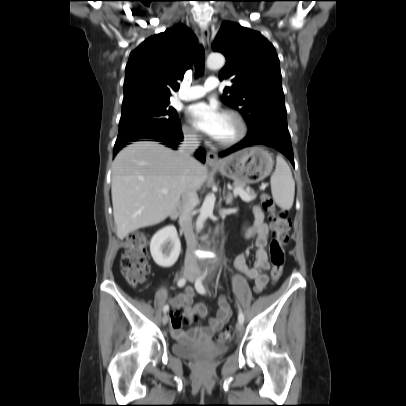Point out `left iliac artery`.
Instances as JSON below:
<instances>
[{
	"label": "left iliac artery",
	"instance_id": "obj_1",
	"mask_svg": "<svg viewBox=\"0 0 406 406\" xmlns=\"http://www.w3.org/2000/svg\"><path fill=\"white\" fill-rule=\"evenodd\" d=\"M207 272H205L200 278H198L195 282V288L197 290V292H199L200 294H206V290L202 284V281L204 280V278L206 277ZM238 320L239 322L243 323L244 322V314L241 310V308L239 307V315H238Z\"/></svg>",
	"mask_w": 406,
	"mask_h": 406
}]
</instances>
